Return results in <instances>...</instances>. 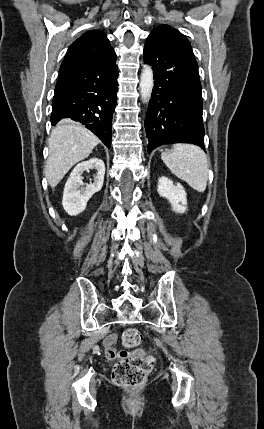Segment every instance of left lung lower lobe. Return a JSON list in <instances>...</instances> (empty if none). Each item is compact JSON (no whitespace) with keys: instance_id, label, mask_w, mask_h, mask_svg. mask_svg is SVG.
<instances>
[{"instance_id":"left-lung-lower-lobe-1","label":"left lung lower lobe","mask_w":264,"mask_h":429,"mask_svg":"<svg viewBox=\"0 0 264 429\" xmlns=\"http://www.w3.org/2000/svg\"><path fill=\"white\" fill-rule=\"evenodd\" d=\"M143 58L155 76L145 120L148 153L170 143H192L205 151L201 83L190 43L176 30L154 29Z\"/></svg>"}]
</instances>
